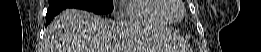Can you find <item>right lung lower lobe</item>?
<instances>
[{"mask_svg": "<svg viewBox=\"0 0 261 52\" xmlns=\"http://www.w3.org/2000/svg\"><path fill=\"white\" fill-rule=\"evenodd\" d=\"M65 8H59V7H52L48 8L47 14H46V25H48L51 20L56 16L60 11L64 10Z\"/></svg>", "mask_w": 261, "mask_h": 52, "instance_id": "1", "label": "right lung lower lobe"}]
</instances>
